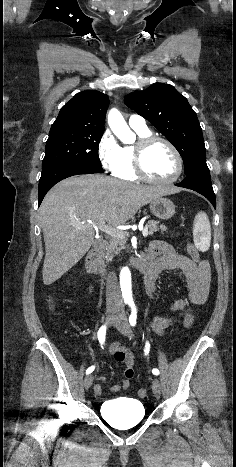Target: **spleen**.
Masks as SVG:
<instances>
[{"instance_id": "3e777b00", "label": "spleen", "mask_w": 236, "mask_h": 467, "mask_svg": "<svg viewBox=\"0 0 236 467\" xmlns=\"http://www.w3.org/2000/svg\"><path fill=\"white\" fill-rule=\"evenodd\" d=\"M193 240L199 251L205 252L210 248L211 225L208 216L204 212H199L194 219Z\"/></svg>"}]
</instances>
